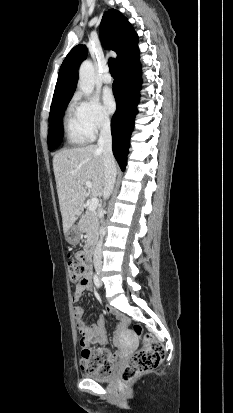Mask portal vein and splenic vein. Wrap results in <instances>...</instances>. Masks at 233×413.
<instances>
[{"label": "portal vein and splenic vein", "instance_id": "obj_1", "mask_svg": "<svg viewBox=\"0 0 233 413\" xmlns=\"http://www.w3.org/2000/svg\"><path fill=\"white\" fill-rule=\"evenodd\" d=\"M86 188L90 189L93 187L92 183L90 181L85 182ZM99 204V200L96 197H93L90 201V204L88 206L89 211L94 212L97 209V206Z\"/></svg>", "mask_w": 233, "mask_h": 413}]
</instances>
